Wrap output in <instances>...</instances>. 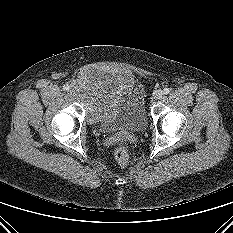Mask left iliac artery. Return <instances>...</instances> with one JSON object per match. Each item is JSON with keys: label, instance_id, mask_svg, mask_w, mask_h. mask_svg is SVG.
<instances>
[{"label": "left iliac artery", "instance_id": "44dca946", "mask_svg": "<svg viewBox=\"0 0 233 233\" xmlns=\"http://www.w3.org/2000/svg\"><path fill=\"white\" fill-rule=\"evenodd\" d=\"M170 93V89L169 88H164L163 90V94H169Z\"/></svg>", "mask_w": 233, "mask_h": 233}]
</instances>
